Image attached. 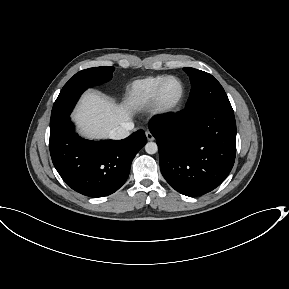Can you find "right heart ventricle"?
Returning a JSON list of instances; mask_svg holds the SVG:
<instances>
[{"mask_svg": "<svg viewBox=\"0 0 289 289\" xmlns=\"http://www.w3.org/2000/svg\"><path fill=\"white\" fill-rule=\"evenodd\" d=\"M165 77V75H155L134 81L126 94L127 104L135 109L150 105L158 85Z\"/></svg>", "mask_w": 289, "mask_h": 289, "instance_id": "1", "label": "right heart ventricle"}]
</instances>
